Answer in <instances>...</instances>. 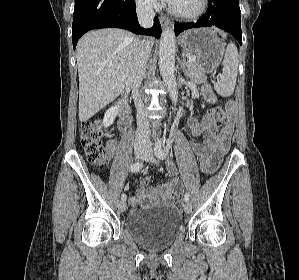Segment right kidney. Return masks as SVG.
<instances>
[{
    "instance_id": "1",
    "label": "right kidney",
    "mask_w": 299,
    "mask_h": 280,
    "mask_svg": "<svg viewBox=\"0 0 299 280\" xmlns=\"http://www.w3.org/2000/svg\"><path fill=\"white\" fill-rule=\"evenodd\" d=\"M118 114V107L117 106H112L111 108H109L104 115V119L102 122V125L107 128L110 125L113 124L116 116Z\"/></svg>"
}]
</instances>
